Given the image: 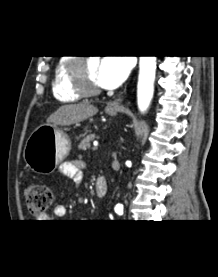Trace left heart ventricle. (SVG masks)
<instances>
[{"label": "left heart ventricle", "mask_w": 218, "mask_h": 277, "mask_svg": "<svg viewBox=\"0 0 218 277\" xmlns=\"http://www.w3.org/2000/svg\"><path fill=\"white\" fill-rule=\"evenodd\" d=\"M87 76L91 84L98 85L97 83V71L99 63L98 61H88L87 62Z\"/></svg>", "instance_id": "obj_1"}]
</instances>
